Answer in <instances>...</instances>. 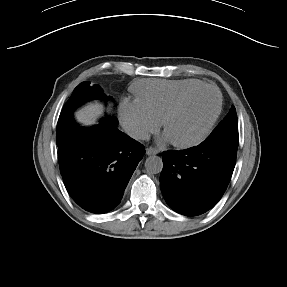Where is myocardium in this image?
Returning <instances> with one entry per match:
<instances>
[{
	"label": "myocardium",
	"instance_id": "myocardium-1",
	"mask_svg": "<svg viewBox=\"0 0 287 287\" xmlns=\"http://www.w3.org/2000/svg\"><path fill=\"white\" fill-rule=\"evenodd\" d=\"M203 89L212 90L216 94L217 103H216L215 110H214L211 118L209 119L208 123L204 127V129L197 136H195L192 139L186 140V141H173V140H171L172 144L177 148L187 149V148H191V147H194V146L200 144L202 141H204L208 137V135L212 131L216 121L219 118V115H220L221 110H222V95H221L220 91L218 90V88H216L215 86L203 83V84H200L198 86H195V87L187 90L170 107V109L168 110V112L166 113V115L164 116V118L162 120L164 132L166 133L169 123L177 116V114L180 112V110L182 109L185 102L189 99V97L191 95H193L194 93H196L197 91H200Z\"/></svg>",
	"mask_w": 287,
	"mask_h": 287
}]
</instances>
